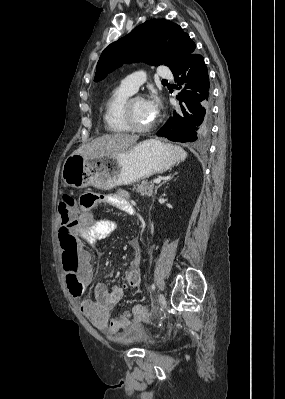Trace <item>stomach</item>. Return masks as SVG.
<instances>
[{
  "label": "stomach",
  "mask_w": 285,
  "mask_h": 399,
  "mask_svg": "<svg viewBox=\"0 0 285 399\" xmlns=\"http://www.w3.org/2000/svg\"><path fill=\"white\" fill-rule=\"evenodd\" d=\"M177 160L171 145L147 140L115 156L87 157L73 153L64 161L61 178L73 188L94 186L107 190L163 173Z\"/></svg>",
  "instance_id": "0dacf381"
}]
</instances>
